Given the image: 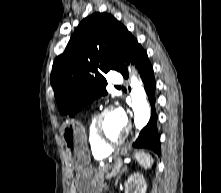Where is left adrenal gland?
<instances>
[{
	"label": "left adrenal gland",
	"mask_w": 221,
	"mask_h": 193,
	"mask_svg": "<svg viewBox=\"0 0 221 193\" xmlns=\"http://www.w3.org/2000/svg\"><path fill=\"white\" fill-rule=\"evenodd\" d=\"M127 171H128L127 166L122 167L121 170L118 171V174H117V177H116V180H115V185L118 184V181H119V179L121 178L122 174H123L124 172H127Z\"/></svg>",
	"instance_id": "left-adrenal-gland-1"
}]
</instances>
